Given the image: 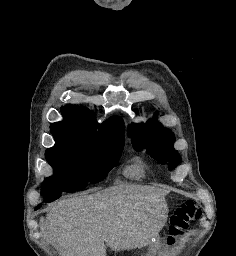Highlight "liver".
I'll use <instances>...</instances> for the list:
<instances>
[{
    "instance_id": "obj_1",
    "label": "liver",
    "mask_w": 236,
    "mask_h": 256,
    "mask_svg": "<svg viewBox=\"0 0 236 256\" xmlns=\"http://www.w3.org/2000/svg\"><path fill=\"white\" fill-rule=\"evenodd\" d=\"M164 196L151 186L121 184L67 198L47 212L42 230L61 256H106L105 242L114 252L139 248L147 238L149 212L168 214Z\"/></svg>"
}]
</instances>
